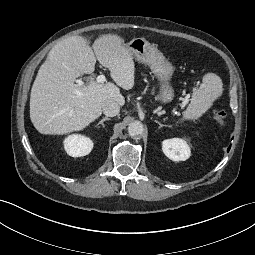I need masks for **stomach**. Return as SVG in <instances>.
I'll return each mask as SVG.
<instances>
[{
	"label": "stomach",
	"instance_id": "1",
	"mask_svg": "<svg viewBox=\"0 0 255 255\" xmlns=\"http://www.w3.org/2000/svg\"><path fill=\"white\" fill-rule=\"evenodd\" d=\"M135 60L148 65L159 81L158 99L166 104L174 98V89L170 83L174 67L156 46L144 38H134L127 45Z\"/></svg>",
	"mask_w": 255,
	"mask_h": 255
}]
</instances>
